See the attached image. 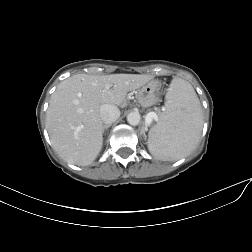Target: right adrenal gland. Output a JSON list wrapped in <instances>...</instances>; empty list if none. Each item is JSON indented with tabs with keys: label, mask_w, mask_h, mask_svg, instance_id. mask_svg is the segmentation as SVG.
Returning <instances> with one entry per match:
<instances>
[{
	"label": "right adrenal gland",
	"mask_w": 252,
	"mask_h": 252,
	"mask_svg": "<svg viewBox=\"0 0 252 252\" xmlns=\"http://www.w3.org/2000/svg\"><path fill=\"white\" fill-rule=\"evenodd\" d=\"M110 126L111 124L104 125L103 132H106L110 128Z\"/></svg>",
	"instance_id": "1"
}]
</instances>
